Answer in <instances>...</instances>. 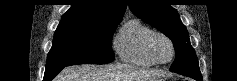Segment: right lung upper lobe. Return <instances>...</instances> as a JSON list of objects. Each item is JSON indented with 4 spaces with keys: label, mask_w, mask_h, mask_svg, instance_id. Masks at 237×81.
<instances>
[{
    "label": "right lung upper lobe",
    "mask_w": 237,
    "mask_h": 81,
    "mask_svg": "<svg viewBox=\"0 0 237 81\" xmlns=\"http://www.w3.org/2000/svg\"><path fill=\"white\" fill-rule=\"evenodd\" d=\"M72 7L61 20L117 21L126 10L124 0H72Z\"/></svg>",
    "instance_id": "obj_1"
}]
</instances>
